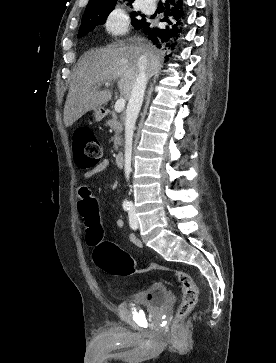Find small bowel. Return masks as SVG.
Returning <instances> with one entry per match:
<instances>
[{
    "label": "small bowel",
    "instance_id": "obj_1",
    "mask_svg": "<svg viewBox=\"0 0 276 363\" xmlns=\"http://www.w3.org/2000/svg\"><path fill=\"white\" fill-rule=\"evenodd\" d=\"M109 167V160L104 159L100 161L98 164H96L92 169L85 172V178L91 179L107 169ZM79 212L81 216L85 219L86 225L89 227L90 218L93 214H98L97 209V203L95 201V198L93 196V193L91 192L90 188L82 185L79 188ZM115 223L117 226L121 227L123 225V220L121 217H117L115 220ZM131 242L138 246L142 247V242L140 239H138L136 236L131 235L130 236ZM143 262V259L141 260Z\"/></svg>",
    "mask_w": 276,
    "mask_h": 363
}]
</instances>
